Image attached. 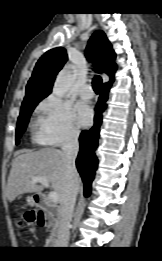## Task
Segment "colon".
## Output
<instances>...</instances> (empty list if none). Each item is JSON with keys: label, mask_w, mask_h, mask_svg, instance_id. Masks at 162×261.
Wrapping results in <instances>:
<instances>
[{"label": "colon", "mask_w": 162, "mask_h": 261, "mask_svg": "<svg viewBox=\"0 0 162 261\" xmlns=\"http://www.w3.org/2000/svg\"><path fill=\"white\" fill-rule=\"evenodd\" d=\"M23 220L30 226H42L44 222L43 214L40 211L29 210L23 214Z\"/></svg>", "instance_id": "colon-1"}]
</instances>
